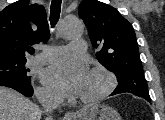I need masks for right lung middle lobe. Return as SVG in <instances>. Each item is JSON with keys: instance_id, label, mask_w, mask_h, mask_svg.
I'll return each mask as SVG.
<instances>
[{"instance_id": "dd1d6c3e", "label": "right lung middle lobe", "mask_w": 165, "mask_h": 120, "mask_svg": "<svg viewBox=\"0 0 165 120\" xmlns=\"http://www.w3.org/2000/svg\"><path fill=\"white\" fill-rule=\"evenodd\" d=\"M26 58L0 60V79L31 82L27 75L29 69L25 68Z\"/></svg>"}]
</instances>
